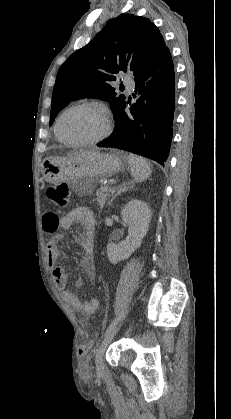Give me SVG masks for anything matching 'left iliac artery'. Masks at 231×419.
Segmentation results:
<instances>
[{
    "mask_svg": "<svg viewBox=\"0 0 231 419\" xmlns=\"http://www.w3.org/2000/svg\"><path fill=\"white\" fill-rule=\"evenodd\" d=\"M119 320H120V317L116 318L115 320H113L111 322V324L109 325V327L107 328V330L105 332V336H107L116 327V325L118 324Z\"/></svg>",
    "mask_w": 231,
    "mask_h": 419,
    "instance_id": "obj_1",
    "label": "left iliac artery"
}]
</instances>
